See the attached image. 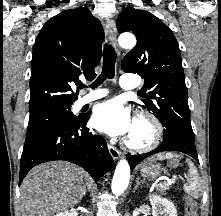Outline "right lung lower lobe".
Masks as SVG:
<instances>
[{
	"label": "right lung lower lobe",
	"instance_id": "obj_1",
	"mask_svg": "<svg viewBox=\"0 0 221 216\" xmlns=\"http://www.w3.org/2000/svg\"><path fill=\"white\" fill-rule=\"evenodd\" d=\"M89 115L55 128L24 145L20 162L19 185L34 166L54 160H65L83 167L93 179L113 166L105 139L86 128Z\"/></svg>",
	"mask_w": 221,
	"mask_h": 216
}]
</instances>
